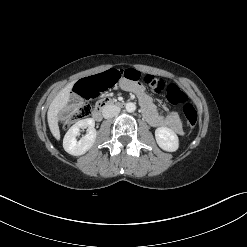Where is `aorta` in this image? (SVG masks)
<instances>
[{
	"instance_id": "1",
	"label": "aorta",
	"mask_w": 247,
	"mask_h": 247,
	"mask_svg": "<svg viewBox=\"0 0 247 247\" xmlns=\"http://www.w3.org/2000/svg\"><path fill=\"white\" fill-rule=\"evenodd\" d=\"M126 108V111L129 112V113H132L136 110V105L135 103H132V102H128L125 106Z\"/></svg>"
}]
</instances>
